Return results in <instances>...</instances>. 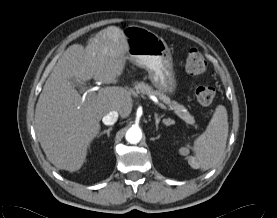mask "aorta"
Listing matches in <instances>:
<instances>
[{"instance_id":"762f6f07","label":"aorta","mask_w":277,"mask_h":218,"mask_svg":"<svg viewBox=\"0 0 277 218\" xmlns=\"http://www.w3.org/2000/svg\"><path fill=\"white\" fill-rule=\"evenodd\" d=\"M126 140L131 144H137L142 138V131L138 126H132L126 132Z\"/></svg>"}]
</instances>
